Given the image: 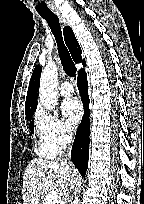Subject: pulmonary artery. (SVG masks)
I'll list each match as a JSON object with an SVG mask.
<instances>
[{
    "label": "pulmonary artery",
    "mask_w": 144,
    "mask_h": 204,
    "mask_svg": "<svg viewBox=\"0 0 144 204\" xmlns=\"http://www.w3.org/2000/svg\"><path fill=\"white\" fill-rule=\"evenodd\" d=\"M73 92H74V88L70 82L65 81L61 84L60 93L63 96H71L73 94Z\"/></svg>",
    "instance_id": "obj_1"
}]
</instances>
